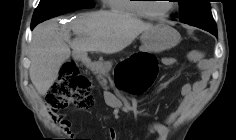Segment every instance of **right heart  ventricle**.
<instances>
[{
    "label": "right heart ventricle",
    "instance_id": "e07e8e85",
    "mask_svg": "<svg viewBox=\"0 0 236 140\" xmlns=\"http://www.w3.org/2000/svg\"><path fill=\"white\" fill-rule=\"evenodd\" d=\"M137 0H108L110 9L116 13H124L132 16H143Z\"/></svg>",
    "mask_w": 236,
    "mask_h": 140
}]
</instances>
